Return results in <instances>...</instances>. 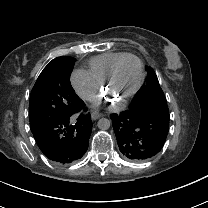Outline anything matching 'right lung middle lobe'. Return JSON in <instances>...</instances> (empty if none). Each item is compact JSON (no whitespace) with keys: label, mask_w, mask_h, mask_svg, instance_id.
Instances as JSON below:
<instances>
[{"label":"right lung middle lobe","mask_w":208,"mask_h":208,"mask_svg":"<svg viewBox=\"0 0 208 208\" xmlns=\"http://www.w3.org/2000/svg\"><path fill=\"white\" fill-rule=\"evenodd\" d=\"M74 62L72 57H57L41 72L30 95V123L69 115L81 107L82 100L70 83Z\"/></svg>","instance_id":"1"}]
</instances>
